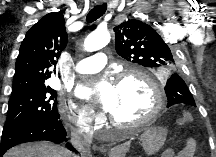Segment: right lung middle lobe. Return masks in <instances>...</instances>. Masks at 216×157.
<instances>
[{
    "mask_svg": "<svg viewBox=\"0 0 216 157\" xmlns=\"http://www.w3.org/2000/svg\"><path fill=\"white\" fill-rule=\"evenodd\" d=\"M57 92L49 86L21 90L11 94L3 133L38 121L59 119Z\"/></svg>",
    "mask_w": 216,
    "mask_h": 157,
    "instance_id": "obj_1",
    "label": "right lung middle lobe"
}]
</instances>
